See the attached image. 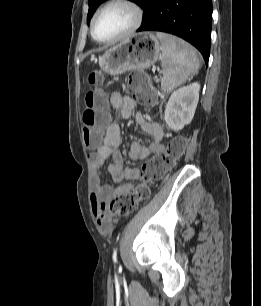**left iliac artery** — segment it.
Instances as JSON below:
<instances>
[{
  "mask_svg": "<svg viewBox=\"0 0 261 306\" xmlns=\"http://www.w3.org/2000/svg\"><path fill=\"white\" fill-rule=\"evenodd\" d=\"M116 256H117V249H115L114 253H113V260H114V262L117 261Z\"/></svg>",
  "mask_w": 261,
  "mask_h": 306,
  "instance_id": "left-iliac-artery-1",
  "label": "left iliac artery"
}]
</instances>
